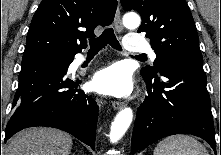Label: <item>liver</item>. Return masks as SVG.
<instances>
[{"label": "liver", "instance_id": "6515ba94", "mask_svg": "<svg viewBox=\"0 0 221 155\" xmlns=\"http://www.w3.org/2000/svg\"><path fill=\"white\" fill-rule=\"evenodd\" d=\"M72 138L69 134L45 127L22 130L4 149V155H69Z\"/></svg>", "mask_w": 221, "mask_h": 155}]
</instances>
